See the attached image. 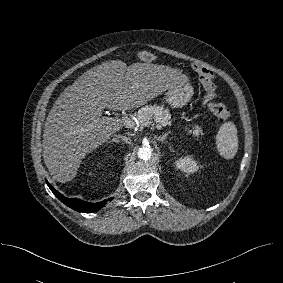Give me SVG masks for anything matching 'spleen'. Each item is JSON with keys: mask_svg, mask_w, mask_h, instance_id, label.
<instances>
[{"mask_svg": "<svg viewBox=\"0 0 283 283\" xmlns=\"http://www.w3.org/2000/svg\"><path fill=\"white\" fill-rule=\"evenodd\" d=\"M216 147L221 156L232 159L238 150L237 128L233 122H225L216 136Z\"/></svg>", "mask_w": 283, "mask_h": 283, "instance_id": "spleen-1", "label": "spleen"}]
</instances>
